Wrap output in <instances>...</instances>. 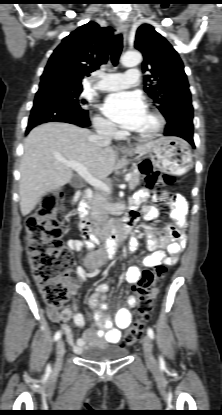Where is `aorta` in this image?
I'll return each instance as SVG.
<instances>
[{
    "label": "aorta",
    "mask_w": 222,
    "mask_h": 415,
    "mask_svg": "<svg viewBox=\"0 0 222 415\" xmlns=\"http://www.w3.org/2000/svg\"><path fill=\"white\" fill-rule=\"evenodd\" d=\"M141 61H142V55L137 51L127 52L123 55L121 59V63L125 67L137 66L138 64L141 63Z\"/></svg>",
    "instance_id": "aorta-1"
}]
</instances>
